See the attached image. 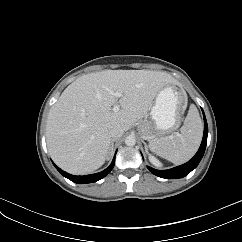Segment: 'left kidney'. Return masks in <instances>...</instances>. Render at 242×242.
Instances as JSON below:
<instances>
[{
	"instance_id": "5707ae66",
	"label": "left kidney",
	"mask_w": 242,
	"mask_h": 242,
	"mask_svg": "<svg viewBox=\"0 0 242 242\" xmlns=\"http://www.w3.org/2000/svg\"><path fill=\"white\" fill-rule=\"evenodd\" d=\"M148 158H149V161H150L154 166H156V167H161V163H160V161H159L157 158H155L153 155H151V154L148 153Z\"/></svg>"
}]
</instances>
